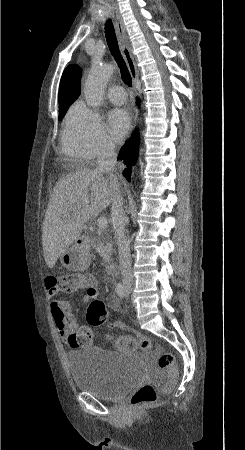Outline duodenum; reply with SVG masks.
I'll use <instances>...</instances> for the list:
<instances>
[{"label": "duodenum", "mask_w": 245, "mask_h": 450, "mask_svg": "<svg viewBox=\"0 0 245 450\" xmlns=\"http://www.w3.org/2000/svg\"><path fill=\"white\" fill-rule=\"evenodd\" d=\"M92 246V242L86 238V237H79L78 238V247L82 250V251H87L88 249H90ZM119 269V263L116 260H112L109 262L108 266H107V271L110 274H114L118 271Z\"/></svg>", "instance_id": "obj_1"}]
</instances>
